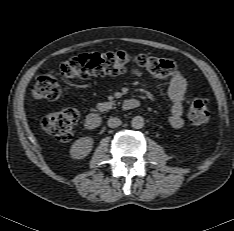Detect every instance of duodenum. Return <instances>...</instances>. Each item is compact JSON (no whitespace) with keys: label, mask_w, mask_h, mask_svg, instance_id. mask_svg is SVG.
<instances>
[{"label":"duodenum","mask_w":234,"mask_h":231,"mask_svg":"<svg viewBox=\"0 0 234 231\" xmlns=\"http://www.w3.org/2000/svg\"><path fill=\"white\" fill-rule=\"evenodd\" d=\"M140 105V102L137 99H127L123 103V108L125 110H134L138 108ZM102 125V118L97 113H90L86 116L85 119V126L88 129H97Z\"/></svg>","instance_id":"1"}]
</instances>
